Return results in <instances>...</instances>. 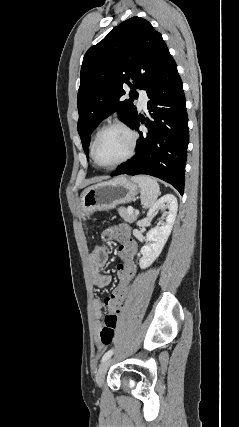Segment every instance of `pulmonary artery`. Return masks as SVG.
<instances>
[{
    "label": "pulmonary artery",
    "instance_id": "pulmonary-artery-1",
    "mask_svg": "<svg viewBox=\"0 0 239 427\" xmlns=\"http://www.w3.org/2000/svg\"><path fill=\"white\" fill-rule=\"evenodd\" d=\"M148 97L145 90L139 91V106L140 108H145L147 105Z\"/></svg>",
    "mask_w": 239,
    "mask_h": 427
}]
</instances>
